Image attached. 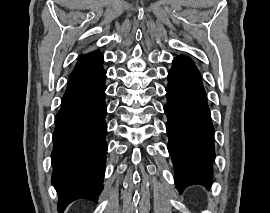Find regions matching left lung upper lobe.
<instances>
[{"label":"left lung upper lobe","instance_id":"left-lung-upper-lobe-1","mask_svg":"<svg viewBox=\"0 0 270 213\" xmlns=\"http://www.w3.org/2000/svg\"><path fill=\"white\" fill-rule=\"evenodd\" d=\"M174 65H189L194 64L192 60L186 56L180 55L173 60Z\"/></svg>","mask_w":270,"mask_h":213}]
</instances>
